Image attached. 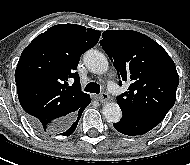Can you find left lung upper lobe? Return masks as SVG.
Returning <instances> with one entry per match:
<instances>
[{"label":"left lung upper lobe","instance_id":"obj_1","mask_svg":"<svg viewBox=\"0 0 190 165\" xmlns=\"http://www.w3.org/2000/svg\"><path fill=\"white\" fill-rule=\"evenodd\" d=\"M100 45L117 70L119 85L130 81L117 97L121 110L164 118L173 107L179 76L172 59L148 36L128 30H107Z\"/></svg>","mask_w":190,"mask_h":165}]
</instances>
